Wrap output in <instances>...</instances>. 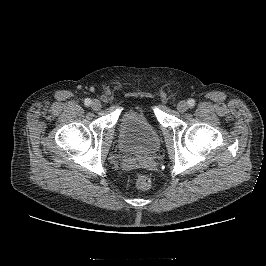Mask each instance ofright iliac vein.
<instances>
[{
    "instance_id": "1",
    "label": "right iliac vein",
    "mask_w": 266,
    "mask_h": 266,
    "mask_svg": "<svg viewBox=\"0 0 266 266\" xmlns=\"http://www.w3.org/2000/svg\"><path fill=\"white\" fill-rule=\"evenodd\" d=\"M91 108H92L93 110H95V111L100 110V108H101V103H100V101H98V100H93V101L91 102Z\"/></svg>"
}]
</instances>
